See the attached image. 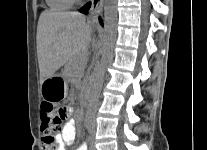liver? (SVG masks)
<instances>
[{
    "instance_id": "1",
    "label": "liver",
    "mask_w": 207,
    "mask_h": 150,
    "mask_svg": "<svg viewBox=\"0 0 207 150\" xmlns=\"http://www.w3.org/2000/svg\"><path fill=\"white\" fill-rule=\"evenodd\" d=\"M92 28L82 14L44 11L37 27V54L40 83L52 77L71 59L85 52Z\"/></svg>"
}]
</instances>
